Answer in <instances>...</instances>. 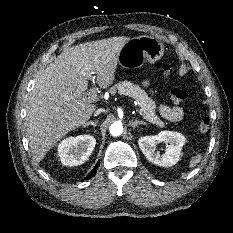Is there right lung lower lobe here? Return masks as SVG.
I'll use <instances>...</instances> for the list:
<instances>
[{
	"mask_svg": "<svg viewBox=\"0 0 233 233\" xmlns=\"http://www.w3.org/2000/svg\"><path fill=\"white\" fill-rule=\"evenodd\" d=\"M98 167H99V162L96 164V166L92 169V171L90 172V174H89L86 178H87V179L92 178V177L95 175V173H96Z\"/></svg>",
	"mask_w": 233,
	"mask_h": 233,
	"instance_id": "98d812e1",
	"label": "right lung lower lobe"
}]
</instances>
